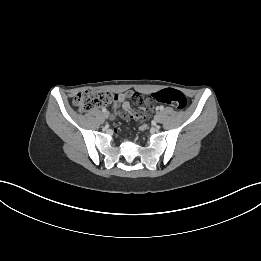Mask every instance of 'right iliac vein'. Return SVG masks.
<instances>
[{
    "mask_svg": "<svg viewBox=\"0 0 261 261\" xmlns=\"http://www.w3.org/2000/svg\"><path fill=\"white\" fill-rule=\"evenodd\" d=\"M104 117H105V118H108V117H109V113H108L107 111L104 113Z\"/></svg>",
    "mask_w": 261,
    "mask_h": 261,
    "instance_id": "obj_1",
    "label": "right iliac vein"
}]
</instances>
